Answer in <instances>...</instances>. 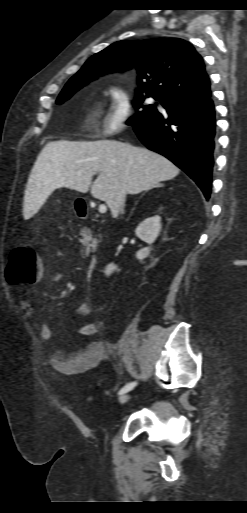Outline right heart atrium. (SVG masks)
<instances>
[{"label": "right heart atrium", "instance_id": "1", "mask_svg": "<svg viewBox=\"0 0 247 513\" xmlns=\"http://www.w3.org/2000/svg\"><path fill=\"white\" fill-rule=\"evenodd\" d=\"M132 112V101L128 91L121 86L109 90V103L101 120L100 129L106 137L120 133L127 125Z\"/></svg>", "mask_w": 247, "mask_h": 513}]
</instances>
